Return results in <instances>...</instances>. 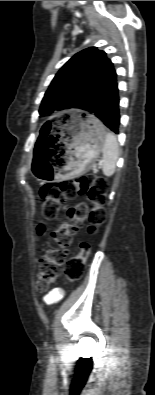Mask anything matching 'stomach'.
<instances>
[{
	"label": "stomach",
	"mask_w": 155,
	"mask_h": 395,
	"mask_svg": "<svg viewBox=\"0 0 155 395\" xmlns=\"http://www.w3.org/2000/svg\"><path fill=\"white\" fill-rule=\"evenodd\" d=\"M103 124L90 113L75 111L56 155H35L31 171L39 181L70 179L84 173L99 156L105 142Z\"/></svg>",
	"instance_id": "obj_1"
}]
</instances>
